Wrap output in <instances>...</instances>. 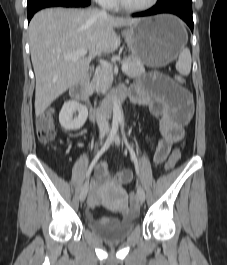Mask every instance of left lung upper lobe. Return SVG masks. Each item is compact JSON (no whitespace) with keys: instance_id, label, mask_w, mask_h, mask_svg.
<instances>
[{"instance_id":"1","label":"left lung upper lobe","mask_w":227,"mask_h":265,"mask_svg":"<svg viewBox=\"0 0 227 265\" xmlns=\"http://www.w3.org/2000/svg\"><path fill=\"white\" fill-rule=\"evenodd\" d=\"M167 2H184V3H192V0H158L157 4L167 3Z\"/></svg>"}]
</instances>
